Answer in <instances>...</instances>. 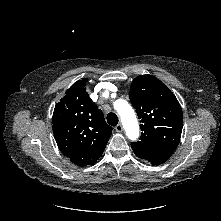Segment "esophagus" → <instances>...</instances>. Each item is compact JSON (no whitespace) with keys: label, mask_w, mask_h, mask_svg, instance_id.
I'll use <instances>...</instances> for the list:
<instances>
[{"label":"esophagus","mask_w":221,"mask_h":221,"mask_svg":"<svg viewBox=\"0 0 221 221\" xmlns=\"http://www.w3.org/2000/svg\"><path fill=\"white\" fill-rule=\"evenodd\" d=\"M115 130H116V132H122V131H123V126H122V124H118V125L115 127Z\"/></svg>","instance_id":"esophagus-1"}]
</instances>
